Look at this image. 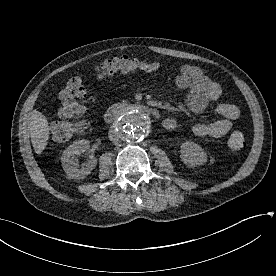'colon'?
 Listing matches in <instances>:
<instances>
[{
    "mask_svg": "<svg viewBox=\"0 0 276 276\" xmlns=\"http://www.w3.org/2000/svg\"><path fill=\"white\" fill-rule=\"evenodd\" d=\"M147 62L129 56L115 57L105 60L97 68L98 76H110L115 74H127L138 71H145ZM86 95V88L81 78L70 79L59 94L60 108L59 115L63 119L52 127V137L56 141H66L73 134L81 132L87 128L86 120L80 119L85 108L79 99ZM246 145L245 136L241 131H234L228 138L227 146L231 152H238Z\"/></svg>",
    "mask_w": 276,
    "mask_h": 276,
    "instance_id": "obj_1",
    "label": "colon"
}]
</instances>
